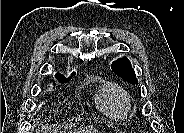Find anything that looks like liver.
Instances as JSON below:
<instances>
[{
    "mask_svg": "<svg viewBox=\"0 0 184 133\" xmlns=\"http://www.w3.org/2000/svg\"><path fill=\"white\" fill-rule=\"evenodd\" d=\"M89 133H96V130H92V129H90V130H87Z\"/></svg>",
    "mask_w": 184,
    "mask_h": 133,
    "instance_id": "liver-1",
    "label": "liver"
}]
</instances>
